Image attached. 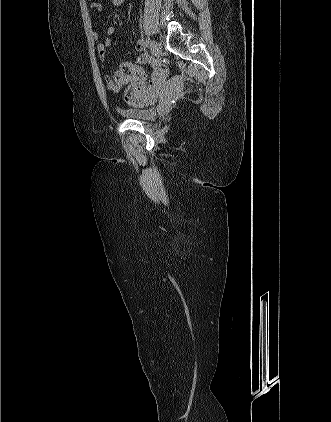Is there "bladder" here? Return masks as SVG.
<instances>
[{
  "instance_id": "1",
  "label": "bladder",
  "mask_w": 331,
  "mask_h": 422,
  "mask_svg": "<svg viewBox=\"0 0 331 422\" xmlns=\"http://www.w3.org/2000/svg\"><path fill=\"white\" fill-rule=\"evenodd\" d=\"M121 112L130 119L148 121L155 118L158 108L156 106L149 108H127L123 109Z\"/></svg>"
}]
</instances>
